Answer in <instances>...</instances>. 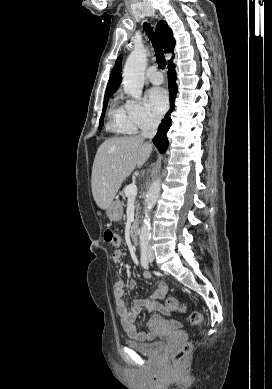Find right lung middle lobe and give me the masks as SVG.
Masks as SVG:
<instances>
[{"instance_id":"dd1d6c3e","label":"right lung middle lobe","mask_w":272,"mask_h":389,"mask_svg":"<svg viewBox=\"0 0 272 389\" xmlns=\"http://www.w3.org/2000/svg\"><path fill=\"white\" fill-rule=\"evenodd\" d=\"M108 97H109V95L104 96L103 110H102L101 118H100V121H99V129H101L102 126H103L104 115H105V110H106V107H107Z\"/></svg>"}]
</instances>
